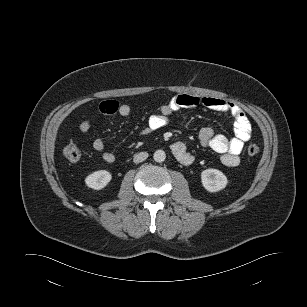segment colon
Instances as JSON below:
<instances>
[{
    "mask_svg": "<svg viewBox=\"0 0 307 307\" xmlns=\"http://www.w3.org/2000/svg\"><path fill=\"white\" fill-rule=\"evenodd\" d=\"M259 146L255 143H251L246 148V153L250 157H254L259 153ZM64 156L71 162H76L81 156V151L78 145L74 142H71L64 149Z\"/></svg>",
    "mask_w": 307,
    "mask_h": 307,
    "instance_id": "1",
    "label": "colon"
}]
</instances>
